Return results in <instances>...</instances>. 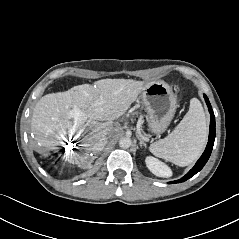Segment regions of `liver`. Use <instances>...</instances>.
I'll use <instances>...</instances> for the list:
<instances>
[{
	"mask_svg": "<svg viewBox=\"0 0 239 239\" xmlns=\"http://www.w3.org/2000/svg\"><path fill=\"white\" fill-rule=\"evenodd\" d=\"M145 84L144 81L132 79H102L94 86L83 84L65 92L44 95L36 103L31 118V132L38 151H56V146L66 141L68 131L73 126L68 112L77 107L86 114L85 126L91 131L83 134L81 140L86 153L83 156L73 154L72 163L84 165L90 158V152L97 153L95 143L111 133L112 121L130 108Z\"/></svg>",
	"mask_w": 239,
	"mask_h": 239,
	"instance_id": "6515ba94",
	"label": "liver"
}]
</instances>
